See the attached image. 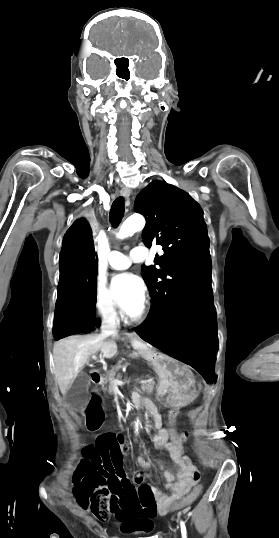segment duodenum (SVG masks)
Here are the masks:
<instances>
[{"label":"duodenum","instance_id":"duodenum-1","mask_svg":"<svg viewBox=\"0 0 279 538\" xmlns=\"http://www.w3.org/2000/svg\"><path fill=\"white\" fill-rule=\"evenodd\" d=\"M88 377L91 380V383L95 386L102 385L104 383V373L100 366H91L89 368ZM139 400L147 401L146 405L149 406L147 410L145 405H140L138 401V396H133V400L129 402L131 407H138L140 405V410H145V413L148 415L159 414L158 405H155L150 396L139 397Z\"/></svg>","mask_w":279,"mask_h":538}]
</instances>
